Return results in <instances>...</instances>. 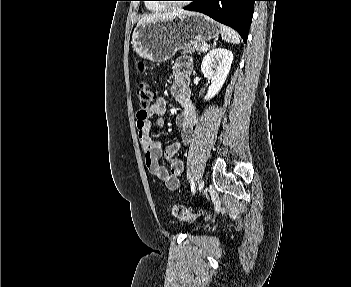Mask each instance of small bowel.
<instances>
[{
	"mask_svg": "<svg viewBox=\"0 0 351 287\" xmlns=\"http://www.w3.org/2000/svg\"><path fill=\"white\" fill-rule=\"evenodd\" d=\"M190 61L183 59L173 66L174 83L171 87L172 96L180 104L182 110L176 118V123L181 129L182 143L189 145L193 141L194 128L197 122V114L191 102V90L188 85ZM167 101L159 97L148 107L140 108L137 112V130L140 143L145 153V162L148 170L159 180L163 181L170 189L179 186V178L183 174V162L176 157L181 143L176 142L164 147L161 142L151 137L154 126H161L162 120H153L154 116H161L166 112ZM165 159L170 167L160 164Z\"/></svg>",
	"mask_w": 351,
	"mask_h": 287,
	"instance_id": "c3829d8e",
	"label": "small bowel"
}]
</instances>
